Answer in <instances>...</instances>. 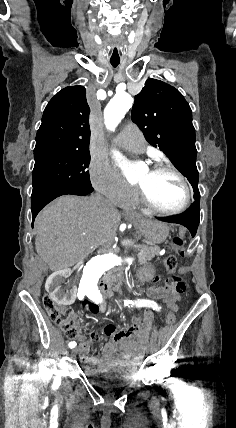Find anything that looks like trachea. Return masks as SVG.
Here are the masks:
<instances>
[{
  "mask_svg": "<svg viewBox=\"0 0 236 428\" xmlns=\"http://www.w3.org/2000/svg\"><path fill=\"white\" fill-rule=\"evenodd\" d=\"M107 56L108 63L111 64L114 68L117 67L122 61V52L119 51L115 46L111 48Z\"/></svg>",
  "mask_w": 236,
  "mask_h": 428,
  "instance_id": "1",
  "label": "trachea"
}]
</instances>
